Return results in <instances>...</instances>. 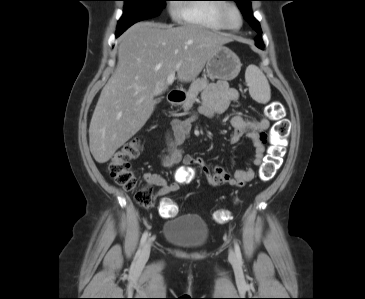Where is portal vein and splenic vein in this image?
<instances>
[{
  "label": "portal vein and splenic vein",
  "instance_id": "portal-vein-and-splenic-vein-1",
  "mask_svg": "<svg viewBox=\"0 0 365 299\" xmlns=\"http://www.w3.org/2000/svg\"><path fill=\"white\" fill-rule=\"evenodd\" d=\"M175 80V72L171 73L168 77H167V80H166V83L168 85L172 84Z\"/></svg>",
  "mask_w": 365,
  "mask_h": 299
}]
</instances>
